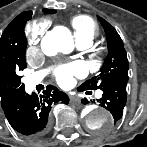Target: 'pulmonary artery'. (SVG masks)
I'll use <instances>...</instances> for the list:
<instances>
[{
    "label": "pulmonary artery",
    "instance_id": "1",
    "mask_svg": "<svg viewBox=\"0 0 147 147\" xmlns=\"http://www.w3.org/2000/svg\"><path fill=\"white\" fill-rule=\"evenodd\" d=\"M77 47L79 49H86L88 47V45L85 44V43H77ZM44 75H45V71H39V72L29 76L27 78V85H28V87L29 88L35 87L37 84H39L43 80ZM96 96L98 98H100L102 96V92L98 91Z\"/></svg>",
    "mask_w": 147,
    "mask_h": 147
}]
</instances>
